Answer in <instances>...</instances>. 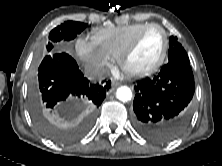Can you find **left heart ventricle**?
<instances>
[{
    "label": "left heart ventricle",
    "instance_id": "obj_1",
    "mask_svg": "<svg viewBox=\"0 0 222 166\" xmlns=\"http://www.w3.org/2000/svg\"><path fill=\"white\" fill-rule=\"evenodd\" d=\"M163 35L158 29L147 31L139 44L128 57L126 66L129 70H145L158 60L163 49Z\"/></svg>",
    "mask_w": 222,
    "mask_h": 166
}]
</instances>
